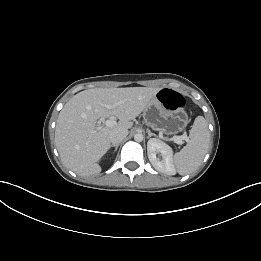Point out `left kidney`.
I'll return each mask as SVG.
<instances>
[{"instance_id":"obj_1","label":"left kidney","mask_w":261,"mask_h":261,"mask_svg":"<svg viewBox=\"0 0 261 261\" xmlns=\"http://www.w3.org/2000/svg\"><path fill=\"white\" fill-rule=\"evenodd\" d=\"M147 153L151 164L156 170L168 175L175 174L173 151L166 143L159 139H150L147 143ZM158 153L161 154L162 161L157 158Z\"/></svg>"}]
</instances>
